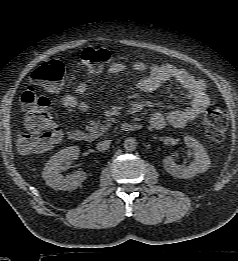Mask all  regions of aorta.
I'll return each mask as SVG.
<instances>
[{"mask_svg":"<svg viewBox=\"0 0 238 261\" xmlns=\"http://www.w3.org/2000/svg\"><path fill=\"white\" fill-rule=\"evenodd\" d=\"M137 147V141L133 137H128L124 140V148L127 151H134Z\"/></svg>","mask_w":238,"mask_h":261,"instance_id":"aorta-1","label":"aorta"}]
</instances>
